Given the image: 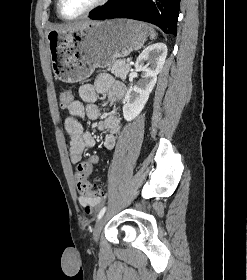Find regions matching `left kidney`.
<instances>
[{"instance_id":"1","label":"left kidney","mask_w":247,"mask_h":280,"mask_svg":"<svg viewBox=\"0 0 247 280\" xmlns=\"http://www.w3.org/2000/svg\"><path fill=\"white\" fill-rule=\"evenodd\" d=\"M166 57L167 46L164 43H156L146 47L137 58L135 68L137 71H142L144 75L143 79L132 85L125 95L123 116L126 121H132L143 110ZM145 62L147 64L144 66Z\"/></svg>"}]
</instances>
